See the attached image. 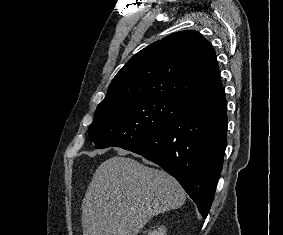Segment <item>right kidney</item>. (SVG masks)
Returning a JSON list of instances; mask_svg holds the SVG:
<instances>
[{"mask_svg": "<svg viewBox=\"0 0 283 235\" xmlns=\"http://www.w3.org/2000/svg\"><path fill=\"white\" fill-rule=\"evenodd\" d=\"M149 235H165V231L163 229L153 230Z\"/></svg>", "mask_w": 283, "mask_h": 235, "instance_id": "ca27d5eb", "label": "right kidney"}]
</instances>
